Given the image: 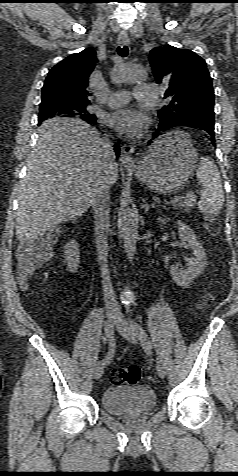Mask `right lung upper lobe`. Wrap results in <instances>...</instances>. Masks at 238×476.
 I'll use <instances>...</instances> for the list:
<instances>
[{
    "label": "right lung upper lobe",
    "mask_w": 238,
    "mask_h": 476,
    "mask_svg": "<svg viewBox=\"0 0 238 476\" xmlns=\"http://www.w3.org/2000/svg\"><path fill=\"white\" fill-rule=\"evenodd\" d=\"M95 51L85 49L75 53L48 73L42 88V102L56 101L68 105H88V79L97 62Z\"/></svg>",
    "instance_id": "cb5924a9"
}]
</instances>
